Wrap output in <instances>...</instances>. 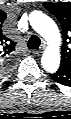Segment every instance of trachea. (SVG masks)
Segmentation results:
<instances>
[{"mask_svg":"<svg viewBox=\"0 0 71 119\" xmlns=\"http://www.w3.org/2000/svg\"><path fill=\"white\" fill-rule=\"evenodd\" d=\"M40 38L36 35H33L30 37V39L28 40V48L29 49H38L40 46Z\"/></svg>","mask_w":71,"mask_h":119,"instance_id":"1","label":"trachea"}]
</instances>
